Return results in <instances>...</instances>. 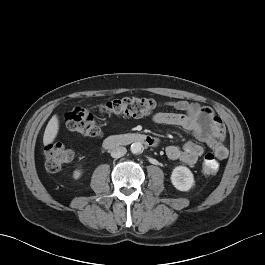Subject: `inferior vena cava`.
Returning a JSON list of instances; mask_svg holds the SVG:
<instances>
[{
    "mask_svg": "<svg viewBox=\"0 0 265 265\" xmlns=\"http://www.w3.org/2000/svg\"><path fill=\"white\" fill-rule=\"evenodd\" d=\"M126 153H127V149L125 147L119 146V147L114 148L111 151V156L113 158H120L124 156Z\"/></svg>",
    "mask_w": 265,
    "mask_h": 265,
    "instance_id": "602c4592",
    "label": "inferior vena cava"
}]
</instances>
